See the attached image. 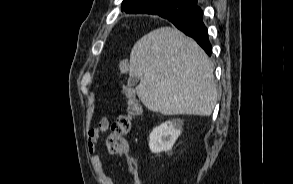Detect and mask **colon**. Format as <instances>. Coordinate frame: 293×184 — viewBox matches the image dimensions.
I'll return each mask as SVG.
<instances>
[{"label": "colon", "instance_id": "colon-1", "mask_svg": "<svg viewBox=\"0 0 293 184\" xmlns=\"http://www.w3.org/2000/svg\"><path fill=\"white\" fill-rule=\"evenodd\" d=\"M118 66L121 74L126 75L128 73L129 63L126 59H121ZM124 92L127 97L126 113L116 118L111 127V135L107 140V148L113 154H121L124 151L125 144L121 137L129 132L132 120L142 112L134 91L125 86Z\"/></svg>", "mask_w": 293, "mask_h": 184}]
</instances>
